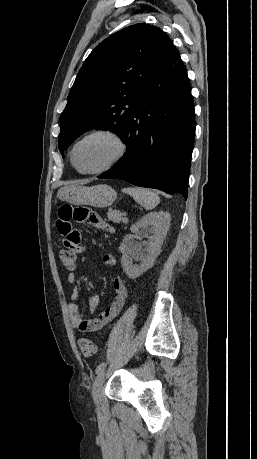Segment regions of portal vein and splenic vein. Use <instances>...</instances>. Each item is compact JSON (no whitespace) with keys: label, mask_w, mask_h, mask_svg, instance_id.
Segmentation results:
<instances>
[{"label":"portal vein and splenic vein","mask_w":257,"mask_h":459,"mask_svg":"<svg viewBox=\"0 0 257 459\" xmlns=\"http://www.w3.org/2000/svg\"><path fill=\"white\" fill-rule=\"evenodd\" d=\"M123 215H124V216H126V214H125V213H124ZM123 221H124V222H127V221H128V219H127L126 217H124Z\"/></svg>","instance_id":"portal-vein-and-splenic-vein-1"}]
</instances>
